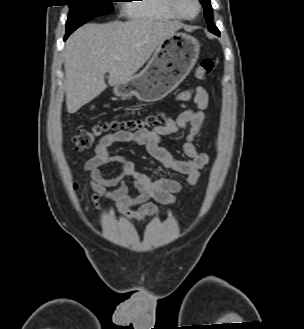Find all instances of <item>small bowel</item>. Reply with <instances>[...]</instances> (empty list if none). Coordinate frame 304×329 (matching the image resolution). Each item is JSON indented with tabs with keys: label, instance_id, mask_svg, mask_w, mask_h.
Wrapping results in <instances>:
<instances>
[{
	"label": "small bowel",
	"instance_id": "small-bowel-1",
	"mask_svg": "<svg viewBox=\"0 0 304 329\" xmlns=\"http://www.w3.org/2000/svg\"><path fill=\"white\" fill-rule=\"evenodd\" d=\"M191 99L197 110H185L176 118L167 116L164 125L150 132L118 131L99 140L94 155L83 167L90 174L91 198L97 210L102 209L101 200L105 199L113 202L124 218L142 221L159 213L151 200L164 205H173L179 191L197 183L201 169L209 161L208 155L200 152L194 143L205 124L204 110L208 107L209 97L203 87L185 90L176 96L177 101ZM184 129H188V132L182 149L188 158L179 159L163 146L162 141L164 137L175 136ZM117 143L144 146L158 164L185 175L186 180L182 182L169 177L152 178L126 157L111 154L109 148ZM106 164H118V173L113 177L104 176L98 168ZM129 182L135 189V194L130 192ZM110 187L115 189L109 190ZM85 210L88 211V208L86 207Z\"/></svg>",
	"mask_w": 304,
	"mask_h": 329
}]
</instances>
